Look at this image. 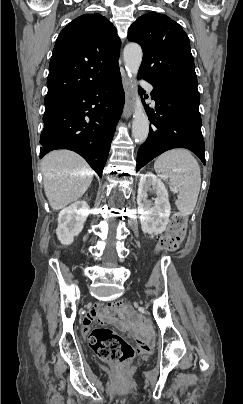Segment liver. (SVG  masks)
Wrapping results in <instances>:
<instances>
[{
    "label": "liver",
    "instance_id": "liver-1",
    "mask_svg": "<svg viewBox=\"0 0 243 404\" xmlns=\"http://www.w3.org/2000/svg\"><path fill=\"white\" fill-rule=\"evenodd\" d=\"M44 192L53 210L78 202L94 176L87 162L69 150H55L42 160Z\"/></svg>",
    "mask_w": 243,
    "mask_h": 404
}]
</instances>
